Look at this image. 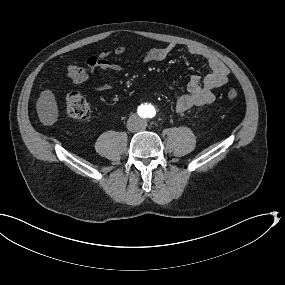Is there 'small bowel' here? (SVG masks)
<instances>
[{
    "instance_id": "c3829d8e",
    "label": "small bowel",
    "mask_w": 285,
    "mask_h": 285,
    "mask_svg": "<svg viewBox=\"0 0 285 285\" xmlns=\"http://www.w3.org/2000/svg\"><path fill=\"white\" fill-rule=\"evenodd\" d=\"M175 50L174 44H168L164 47H154L143 52L144 61H163ZM127 51L125 45L117 46L113 54L119 56ZM189 55L199 57L206 61L209 72L203 77L191 75L187 82V91L176 97V110L178 112L187 111L193 107H199L211 104L215 100L213 91L224 86L228 81L229 71L225 64L208 50L190 45L186 47ZM110 52H102L98 56L89 57L86 65L90 70L102 69L119 73L122 67L109 61ZM95 89L105 91L115 88V83L107 81L96 84Z\"/></svg>"
}]
</instances>
